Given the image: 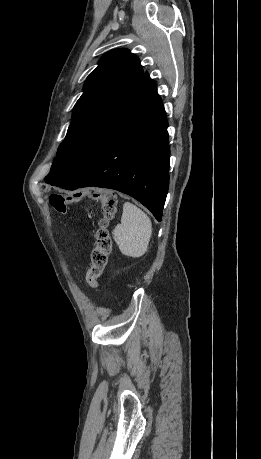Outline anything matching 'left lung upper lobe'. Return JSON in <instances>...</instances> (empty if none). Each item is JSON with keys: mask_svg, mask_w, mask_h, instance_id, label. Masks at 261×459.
Here are the masks:
<instances>
[{"mask_svg": "<svg viewBox=\"0 0 261 459\" xmlns=\"http://www.w3.org/2000/svg\"><path fill=\"white\" fill-rule=\"evenodd\" d=\"M156 90L126 49L103 55L75 104L72 122L45 182L58 186L90 161Z\"/></svg>", "mask_w": 261, "mask_h": 459, "instance_id": "1", "label": "left lung upper lobe"}]
</instances>
